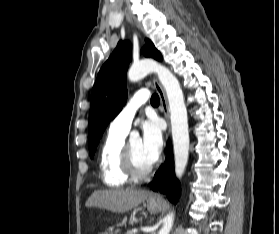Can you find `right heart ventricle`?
<instances>
[{
    "instance_id": "obj_1",
    "label": "right heart ventricle",
    "mask_w": 279,
    "mask_h": 234,
    "mask_svg": "<svg viewBox=\"0 0 279 234\" xmlns=\"http://www.w3.org/2000/svg\"><path fill=\"white\" fill-rule=\"evenodd\" d=\"M125 133L109 130L99 152V168L102 181L109 187H121L129 183L122 168V146Z\"/></svg>"
}]
</instances>
